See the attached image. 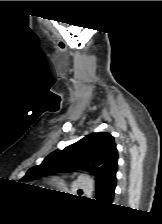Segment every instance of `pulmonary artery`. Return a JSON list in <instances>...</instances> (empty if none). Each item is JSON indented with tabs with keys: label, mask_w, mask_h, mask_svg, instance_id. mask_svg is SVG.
Wrapping results in <instances>:
<instances>
[{
	"label": "pulmonary artery",
	"mask_w": 162,
	"mask_h": 224,
	"mask_svg": "<svg viewBox=\"0 0 162 224\" xmlns=\"http://www.w3.org/2000/svg\"><path fill=\"white\" fill-rule=\"evenodd\" d=\"M77 185L80 188H89L90 187V182L87 176L85 175H80L77 179Z\"/></svg>",
	"instance_id": "pulmonary-artery-1"
}]
</instances>
